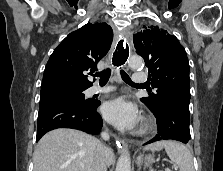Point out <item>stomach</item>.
Segmentation results:
<instances>
[{
    "mask_svg": "<svg viewBox=\"0 0 223 171\" xmlns=\"http://www.w3.org/2000/svg\"><path fill=\"white\" fill-rule=\"evenodd\" d=\"M137 163L138 164H143L146 166V167H150L153 163H154V157L152 155H147L145 156L144 159H142V157H138L137 158Z\"/></svg>",
    "mask_w": 223,
    "mask_h": 171,
    "instance_id": "stomach-1",
    "label": "stomach"
}]
</instances>
